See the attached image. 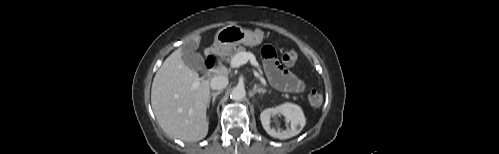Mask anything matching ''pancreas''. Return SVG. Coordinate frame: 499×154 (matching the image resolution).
Wrapping results in <instances>:
<instances>
[{
  "label": "pancreas",
  "mask_w": 499,
  "mask_h": 154,
  "mask_svg": "<svg viewBox=\"0 0 499 154\" xmlns=\"http://www.w3.org/2000/svg\"><path fill=\"white\" fill-rule=\"evenodd\" d=\"M246 49L243 47V46H239L238 48H231V49H228V50H225L222 52V58L226 61V62H231L232 58L240 53V52H245Z\"/></svg>",
  "instance_id": "pancreas-1"
}]
</instances>
